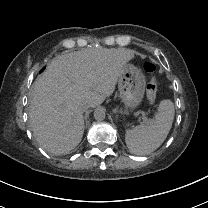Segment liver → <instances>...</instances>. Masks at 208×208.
Returning <instances> with one entry per match:
<instances>
[{
	"instance_id": "1",
	"label": "liver",
	"mask_w": 208,
	"mask_h": 208,
	"mask_svg": "<svg viewBox=\"0 0 208 208\" xmlns=\"http://www.w3.org/2000/svg\"><path fill=\"white\" fill-rule=\"evenodd\" d=\"M133 57L130 49L88 48L54 58L32 86L29 117L37 142L56 155L74 149L84 133L79 104L100 105Z\"/></svg>"
}]
</instances>
